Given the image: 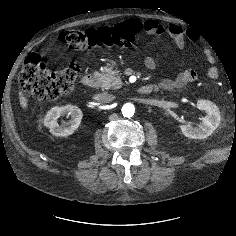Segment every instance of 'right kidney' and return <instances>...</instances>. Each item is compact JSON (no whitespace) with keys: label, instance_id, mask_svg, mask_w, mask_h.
Here are the masks:
<instances>
[{"label":"right kidney","instance_id":"right-kidney-1","mask_svg":"<svg viewBox=\"0 0 236 236\" xmlns=\"http://www.w3.org/2000/svg\"><path fill=\"white\" fill-rule=\"evenodd\" d=\"M64 115L71 116L68 124H58V119ZM82 111L73 105L53 107L44 118V125L49 127L51 134L66 137L73 134L82 120Z\"/></svg>","mask_w":236,"mask_h":236}]
</instances>
